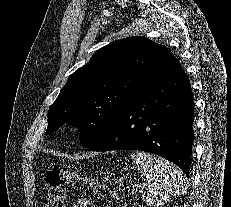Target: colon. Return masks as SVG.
<instances>
[{
	"mask_svg": "<svg viewBox=\"0 0 231 207\" xmlns=\"http://www.w3.org/2000/svg\"><path fill=\"white\" fill-rule=\"evenodd\" d=\"M77 179L86 181L90 186L96 183L88 176H82L72 171H64L59 167H51L46 173V182L49 187L45 207H65L66 187Z\"/></svg>",
	"mask_w": 231,
	"mask_h": 207,
	"instance_id": "colon-1",
	"label": "colon"
}]
</instances>
